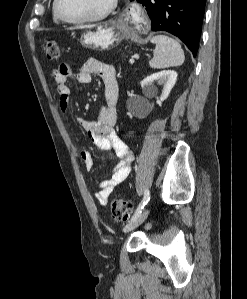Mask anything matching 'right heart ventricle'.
<instances>
[{
    "label": "right heart ventricle",
    "mask_w": 247,
    "mask_h": 299,
    "mask_svg": "<svg viewBox=\"0 0 247 299\" xmlns=\"http://www.w3.org/2000/svg\"><path fill=\"white\" fill-rule=\"evenodd\" d=\"M53 20L56 23L60 22V20L57 18L56 14L54 13V10H53Z\"/></svg>",
    "instance_id": "1"
}]
</instances>
